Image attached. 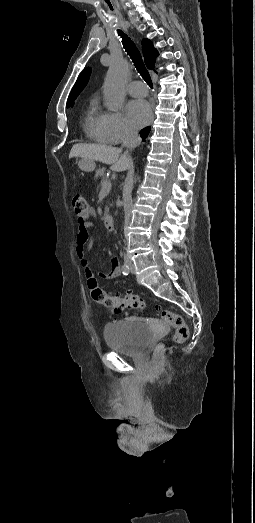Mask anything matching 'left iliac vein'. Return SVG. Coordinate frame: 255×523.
Listing matches in <instances>:
<instances>
[{"label": "left iliac vein", "mask_w": 255, "mask_h": 523, "mask_svg": "<svg viewBox=\"0 0 255 523\" xmlns=\"http://www.w3.org/2000/svg\"><path fill=\"white\" fill-rule=\"evenodd\" d=\"M127 265L129 267L130 272L131 273H135V266H134V264L131 261H128Z\"/></svg>", "instance_id": "1"}]
</instances>
